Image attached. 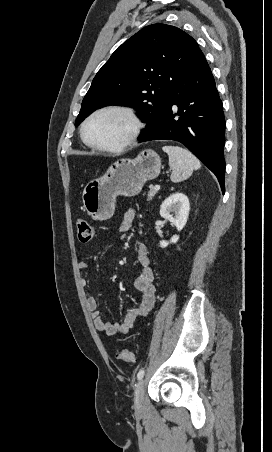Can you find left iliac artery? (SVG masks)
<instances>
[{
  "label": "left iliac artery",
  "mask_w": 272,
  "mask_h": 452,
  "mask_svg": "<svg viewBox=\"0 0 272 452\" xmlns=\"http://www.w3.org/2000/svg\"><path fill=\"white\" fill-rule=\"evenodd\" d=\"M144 373H145L144 369H141L137 374V379L140 380L144 376Z\"/></svg>",
  "instance_id": "1"
}]
</instances>
